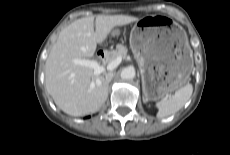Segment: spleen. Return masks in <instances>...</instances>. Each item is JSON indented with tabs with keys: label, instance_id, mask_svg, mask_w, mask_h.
I'll list each match as a JSON object with an SVG mask.
<instances>
[{
	"label": "spleen",
	"instance_id": "obj_1",
	"mask_svg": "<svg viewBox=\"0 0 230 155\" xmlns=\"http://www.w3.org/2000/svg\"><path fill=\"white\" fill-rule=\"evenodd\" d=\"M193 93V86L187 84L186 86L175 91L174 95H169L156 103L158 108L157 116L159 118L168 117L178 112L190 99Z\"/></svg>",
	"mask_w": 230,
	"mask_h": 155
}]
</instances>
